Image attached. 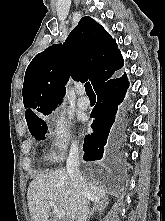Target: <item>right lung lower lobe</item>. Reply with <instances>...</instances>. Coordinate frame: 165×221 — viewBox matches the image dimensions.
<instances>
[{"mask_svg": "<svg viewBox=\"0 0 165 221\" xmlns=\"http://www.w3.org/2000/svg\"><path fill=\"white\" fill-rule=\"evenodd\" d=\"M128 86L129 82L124 74L111 78L95 89L97 103L91 112L94 132L84 140L85 161L100 160L103 155L106 157L123 142L122 123L118 119L115 120V115Z\"/></svg>", "mask_w": 165, "mask_h": 221, "instance_id": "obj_1", "label": "right lung lower lobe"}]
</instances>
